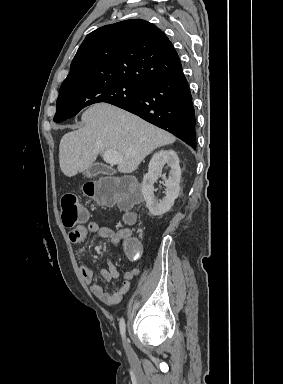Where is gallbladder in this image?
<instances>
[{
	"instance_id": "bac80fb5",
	"label": "gallbladder",
	"mask_w": 283,
	"mask_h": 384,
	"mask_svg": "<svg viewBox=\"0 0 283 384\" xmlns=\"http://www.w3.org/2000/svg\"><path fill=\"white\" fill-rule=\"evenodd\" d=\"M109 170L108 165H91L87 170V174H89V177H99V172H108Z\"/></svg>"
}]
</instances>
